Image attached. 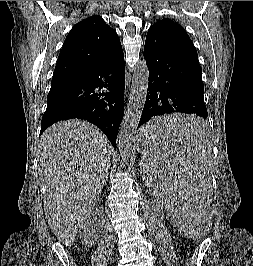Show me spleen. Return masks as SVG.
I'll use <instances>...</instances> for the list:
<instances>
[{
    "mask_svg": "<svg viewBox=\"0 0 253 266\" xmlns=\"http://www.w3.org/2000/svg\"><path fill=\"white\" fill-rule=\"evenodd\" d=\"M197 111H167L143 123L147 138H140L139 169L145 187L153 188L173 215L182 235H211L208 216L213 174L212 141H205L206 123ZM196 239V236H193Z\"/></svg>",
    "mask_w": 253,
    "mask_h": 266,
    "instance_id": "spleen-1",
    "label": "spleen"
}]
</instances>
